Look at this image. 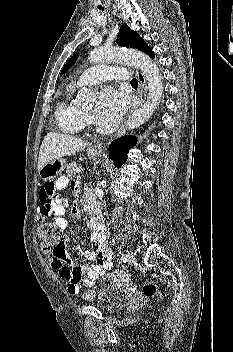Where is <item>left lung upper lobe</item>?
<instances>
[{
	"mask_svg": "<svg viewBox=\"0 0 233 352\" xmlns=\"http://www.w3.org/2000/svg\"><path fill=\"white\" fill-rule=\"evenodd\" d=\"M116 42L120 46L139 49L150 57L154 58V53L152 52L150 47L147 46L143 38H141L135 31L131 30L126 24H123L120 27ZM78 56L79 54L77 53L67 61L61 71V74L66 73L70 69V67L75 64L76 60L78 59Z\"/></svg>",
	"mask_w": 233,
	"mask_h": 352,
	"instance_id": "left-lung-upper-lobe-1",
	"label": "left lung upper lobe"
}]
</instances>
